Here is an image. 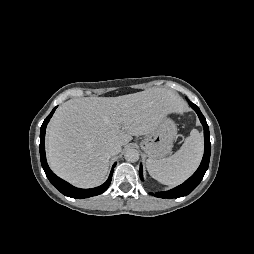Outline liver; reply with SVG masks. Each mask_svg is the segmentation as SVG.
Here are the masks:
<instances>
[{"label":"liver","instance_id":"6515ba94","mask_svg":"<svg viewBox=\"0 0 254 254\" xmlns=\"http://www.w3.org/2000/svg\"><path fill=\"white\" fill-rule=\"evenodd\" d=\"M183 103L172 90L151 88L118 97L71 99L55 112L47 128V160L59 177L80 188L100 185L108 172L107 147L151 134Z\"/></svg>","mask_w":254,"mask_h":254}]
</instances>
